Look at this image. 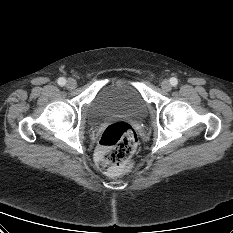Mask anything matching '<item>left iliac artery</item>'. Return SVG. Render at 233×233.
<instances>
[{"instance_id":"44dca946","label":"left iliac artery","mask_w":233,"mask_h":233,"mask_svg":"<svg viewBox=\"0 0 233 233\" xmlns=\"http://www.w3.org/2000/svg\"><path fill=\"white\" fill-rule=\"evenodd\" d=\"M170 83H171L172 86H176L178 84V80L173 77V78L170 79Z\"/></svg>"}]
</instances>
